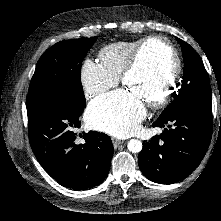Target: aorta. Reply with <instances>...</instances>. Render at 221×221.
Segmentation results:
<instances>
[{"mask_svg": "<svg viewBox=\"0 0 221 221\" xmlns=\"http://www.w3.org/2000/svg\"><path fill=\"white\" fill-rule=\"evenodd\" d=\"M127 148L132 153H139L142 150V142L138 139H131L127 143Z\"/></svg>", "mask_w": 221, "mask_h": 221, "instance_id": "obj_1", "label": "aorta"}]
</instances>
